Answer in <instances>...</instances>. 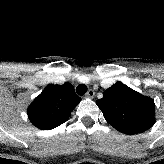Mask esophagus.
<instances>
[{
	"label": "esophagus",
	"mask_w": 164,
	"mask_h": 164,
	"mask_svg": "<svg viewBox=\"0 0 164 164\" xmlns=\"http://www.w3.org/2000/svg\"><path fill=\"white\" fill-rule=\"evenodd\" d=\"M94 95H95L94 90L90 89V90L87 92V94H86L85 97H86V98H93Z\"/></svg>",
	"instance_id": "obj_1"
}]
</instances>
